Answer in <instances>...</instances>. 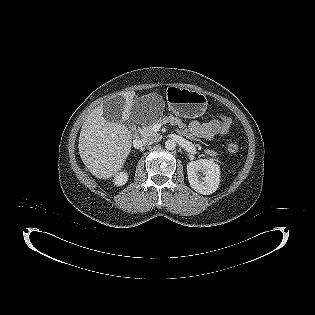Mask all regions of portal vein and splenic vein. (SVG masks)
I'll return each mask as SVG.
<instances>
[{"mask_svg": "<svg viewBox=\"0 0 315 315\" xmlns=\"http://www.w3.org/2000/svg\"><path fill=\"white\" fill-rule=\"evenodd\" d=\"M159 128H160L159 125H155V126H154V129H155V130H158Z\"/></svg>", "mask_w": 315, "mask_h": 315, "instance_id": "1", "label": "portal vein and splenic vein"}]
</instances>
